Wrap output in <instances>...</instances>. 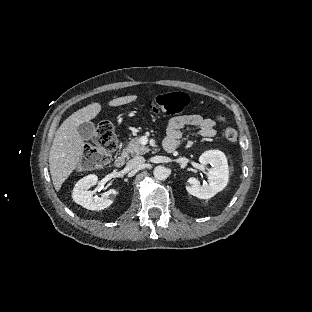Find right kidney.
I'll return each mask as SVG.
<instances>
[{
    "mask_svg": "<svg viewBox=\"0 0 312 312\" xmlns=\"http://www.w3.org/2000/svg\"><path fill=\"white\" fill-rule=\"evenodd\" d=\"M98 177L94 174L87 175L80 179L74 186L72 192L73 200L88 210H102L109 207L117 195V191L111 189L101 194L100 197L93 196L89 188L96 185Z\"/></svg>",
    "mask_w": 312,
    "mask_h": 312,
    "instance_id": "obj_1",
    "label": "right kidney"
}]
</instances>
